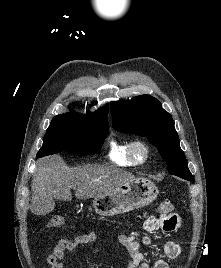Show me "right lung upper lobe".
Wrapping results in <instances>:
<instances>
[{"instance_id": "1", "label": "right lung upper lobe", "mask_w": 221, "mask_h": 268, "mask_svg": "<svg viewBox=\"0 0 221 268\" xmlns=\"http://www.w3.org/2000/svg\"><path fill=\"white\" fill-rule=\"evenodd\" d=\"M61 115L73 116V117L85 120L87 122H90V123L108 126V119H107L108 106L107 105L98 109L97 111H95V113H92V114L88 113V114L83 115V114L71 112V113H66V114H61Z\"/></svg>"}]
</instances>
